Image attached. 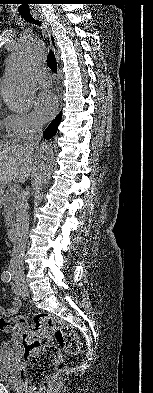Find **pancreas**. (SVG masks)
<instances>
[{"label": "pancreas", "instance_id": "1", "mask_svg": "<svg viewBox=\"0 0 153 393\" xmlns=\"http://www.w3.org/2000/svg\"><path fill=\"white\" fill-rule=\"evenodd\" d=\"M17 196L18 192L11 191V187H9L0 198V205L3 206L5 226L7 228L13 225Z\"/></svg>", "mask_w": 153, "mask_h": 393}]
</instances>
